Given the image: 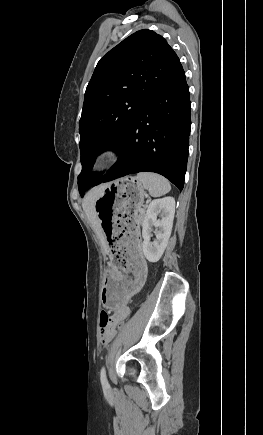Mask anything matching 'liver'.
<instances>
[{"label":"liver","instance_id":"1","mask_svg":"<svg viewBox=\"0 0 263 435\" xmlns=\"http://www.w3.org/2000/svg\"><path fill=\"white\" fill-rule=\"evenodd\" d=\"M106 184L98 186L92 189L83 200V210L86 213L88 220L90 221L95 233L100 238L102 246L105 248V238L100 221L95 212V200L100 192L105 188Z\"/></svg>","mask_w":263,"mask_h":435}]
</instances>
